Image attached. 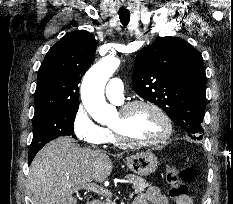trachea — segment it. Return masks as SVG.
Instances as JSON below:
<instances>
[{
	"mask_svg": "<svg viewBox=\"0 0 233 204\" xmlns=\"http://www.w3.org/2000/svg\"><path fill=\"white\" fill-rule=\"evenodd\" d=\"M120 22L126 26L130 21V12H119Z\"/></svg>",
	"mask_w": 233,
	"mask_h": 204,
	"instance_id": "1",
	"label": "trachea"
}]
</instances>
